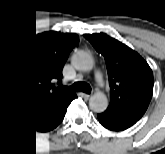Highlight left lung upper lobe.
I'll return each instance as SVG.
<instances>
[{
    "mask_svg": "<svg viewBox=\"0 0 165 154\" xmlns=\"http://www.w3.org/2000/svg\"><path fill=\"white\" fill-rule=\"evenodd\" d=\"M105 58L111 89L108 114L139 120L153 94V73L134 50L105 33L85 34Z\"/></svg>",
    "mask_w": 165,
    "mask_h": 154,
    "instance_id": "5c2ea615",
    "label": "left lung upper lobe"
}]
</instances>
